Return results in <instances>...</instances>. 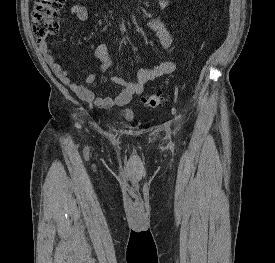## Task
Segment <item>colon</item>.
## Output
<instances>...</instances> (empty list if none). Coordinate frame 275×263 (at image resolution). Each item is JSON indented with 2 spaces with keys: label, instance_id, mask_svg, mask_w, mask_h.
<instances>
[{
  "label": "colon",
  "instance_id": "1",
  "mask_svg": "<svg viewBox=\"0 0 275 263\" xmlns=\"http://www.w3.org/2000/svg\"><path fill=\"white\" fill-rule=\"evenodd\" d=\"M66 0H35L31 11L32 33L38 43L55 34L59 28L57 15L62 10ZM148 107H159L167 103L163 93L147 94L142 99Z\"/></svg>",
  "mask_w": 275,
  "mask_h": 263
}]
</instances>
